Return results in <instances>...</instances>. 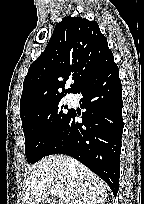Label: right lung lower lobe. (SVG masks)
<instances>
[{
    "mask_svg": "<svg viewBox=\"0 0 144 204\" xmlns=\"http://www.w3.org/2000/svg\"><path fill=\"white\" fill-rule=\"evenodd\" d=\"M83 95L81 107L86 112L72 110L45 156L66 154L76 158L100 176L114 196L119 189L122 119V85L119 69L112 60L89 78L76 92Z\"/></svg>",
    "mask_w": 144,
    "mask_h": 204,
    "instance_id": "right-lung-lower-lobe-1",
    "label": "right lung lower lobe"
}]
</instances>
